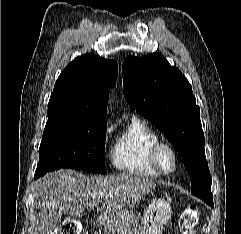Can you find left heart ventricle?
<instances>
[{
	"label": "left heart ventricle",
	"mask_w": 241,
	"mask_h": 234,
	"mask_svg": "<svg viewBox=\"0 0 241 234\" xmlns=\"http://www.w3.org/2000/svg\"><path fill=\"white\" fill-rule=\"evenodd\" d=\"M163 163L165 167L169 168L171 166V158L167 153L163 154Z\"/></svg>",
	"instance_id": "b2bd125f"
}]
</instances>
